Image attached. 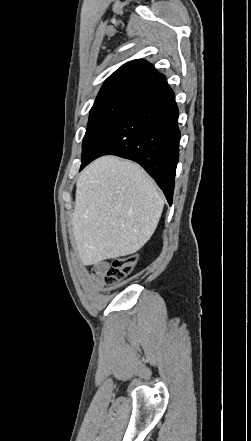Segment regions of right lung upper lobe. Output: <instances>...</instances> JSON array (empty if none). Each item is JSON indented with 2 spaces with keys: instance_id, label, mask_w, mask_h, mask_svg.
I'll return each instance as SVG.
<instances>
[{
  "instance_id": "obj_1",
  "label": "right lung upper lobe",
  "mask_w": 251,
  "mask_h": 441,
  "mask_svg": "<svg viewBox=\"0 0 251 441\" xmlns=\"http://www.w3.org/2000/svg\"><path fill=\"white\" fill-rule=\"evenodd\" d=\"M166 78L145 60L122 65L102 85L95 102L110 99L137 101Z\"/></svg>"
}]
</instances>
